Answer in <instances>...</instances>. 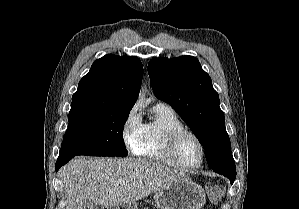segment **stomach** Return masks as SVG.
I'll use <instances>...</instances> for the list:
<instances>
[{"mask_svg": "<svg viewBox=\"0 0 299 209\" xmlns=\"http://www.w3.org/2000/svg\"><path fill=\"white\" fill-rule=\"evenodd\" d=\"M154 199L159 209H201L206 203L204 189L190 178H182L155 190ZM108 209H120L110 206ZM123 209H138L136 204H125Z\"/></svg>", "mask_w": 299, "mask_h": 209, "instance_id": "1", "label": "stomach"}]
</instances>
